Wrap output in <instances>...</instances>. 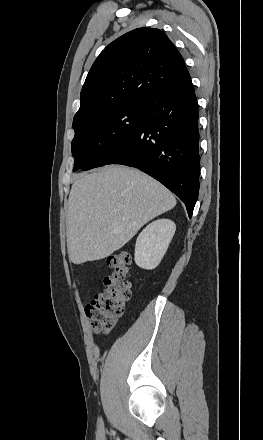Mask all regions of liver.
<instances>
[{"label":"liver","mask_w":263,"mask_h":440,"mask_svg":"<svg viewBox=\"0 0 263 440\" xmlns=\"http://www.w3.org/2000/svg\"><path fill=\"white\" fill-rule=\"evenodd\" d=\"M175 205L168 189L137 169L107 166L80 175L68 199L70 261L82 264L110 256L144 224Z\"/></svg>","instance_id":"obj_1"}]
</instances>
